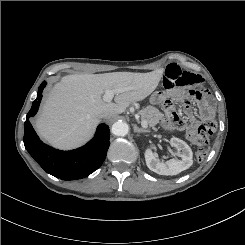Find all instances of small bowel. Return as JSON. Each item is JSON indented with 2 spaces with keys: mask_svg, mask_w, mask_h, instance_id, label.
<instances>
[{
  "mask_svg": "<svg viewBox=\"0 0 245 245\" xmlns=\"http://www.w3.org/2000/svg\"><path fill=\"white\" fill-rule=\"evenodd\" d=\"M203 79L200 75L192 72L184 71L177 65L169 66L165 73V78L163 80V85L167 89H172L175 86H201ZM205 91L200 88L191 89L187 91L185 98L188 102L200 103L205 98ZM186 113L189 116L190 123L188 126L189 132H192L198 125V120L193 117L192 109L189 105L185 107ZM201 114L204 118L210 117L213 114V109L209 105H204L201 109ZM165 127H169L168 122H164Z\"/></svg>",
  "mask_w": 245,
  "mask_h": 245,
  "instance_id": "1",
  "label": "small bowel"
}]
</instances>
